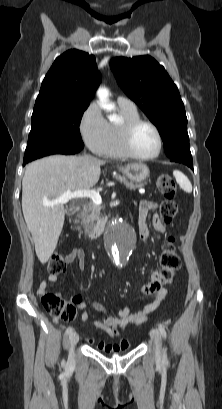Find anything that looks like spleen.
<instances>
[{
	"label": "spleen",
	"instance_id": "1",
	"mask_svg": "<svg viewBox=\"0 0 222 409\" xmlns=\"http://www.w3.org/2000/svg\"><path fill=\"white\" fill-rule=\"evenodd\" d=\"M173 175L179 186L187 193L192 192V185L189 179L179 170H174Z\"/></svg>",
	"mask_w": 222,
	"mask_h": 409
}]
</instances>
